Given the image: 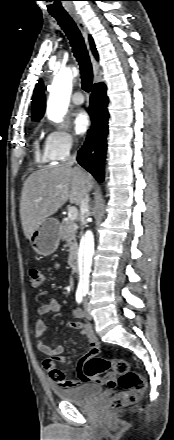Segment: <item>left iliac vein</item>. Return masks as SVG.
<instances>
[{
    "label": "left iliac vein",
    "instance_id": "1",
    "mask_svg": "<svg viewBox=\"0 0 174 440\" xmlns=\"http://www.w3.org/2000/svg\"><path fill=\"white\" fill-rule=\"evenodd\" d=\"M84 314H85V317L88 319V320H92V315H91V313H90V309H89V306H88V303H87V301L85 300V302H84Z\"/></svg>",
    "mask_w": 174,
    "mask_h": 440
}]
</instances>
